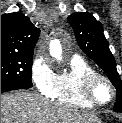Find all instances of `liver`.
<instances>
[{
  "mask_svg": "<svg viewBox=\"0 0 122 123\" xmlns=\"http://www.w3.org/2000/svg\"><path fill=\"white\" fill-rule=\"evenodd\" d=\"M101 123L92 112L53 102L42 95L13 91L1 95V123Z\"/></svg>",
  "mask_w": 122,
  "mask_h": 123,
  "instance_id": "liver-1",
  "label": "liver"
}]
</instances>
